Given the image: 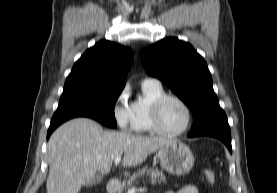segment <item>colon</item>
I'll return each instance as SVG.
<instances>
[{
    "mask_svg": "<svg viewBox=\"0 0 277 193\" xmlns=\"http://www.w3.org/2000/svg\"><path fill=\"white\" fill-rule=\"evenodd\" d=\"M204 176L206 181L210 184L213 185L216 182V174L214 171L207 169L204 171Z\"/></svg>",
    "mask_w": 277,
    "mask_h": 193,
    "instance_id": "5ec220e1",
    "label": "colon"
}]
</instances>
